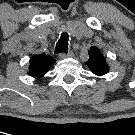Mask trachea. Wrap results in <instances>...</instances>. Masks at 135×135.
<instances>
[{
    "mask_svg": "<svg viewBox=\"0 0 135 135\" xmlns=\"http://www.w3.org/2000/svg\"><path fill=\"white\" fill-rule=\"evenodd\" d=\"M68 40H69L68 33L63 32L61 34V37H60L59 41L56 44L54 53L55 54L67 53V51H68Z\"/></svg>",
    "mask_w": 135,
    "mask_h": 135,
    "instance_id": "obj_1",
    "label": "trachea"
}]
</instances>
